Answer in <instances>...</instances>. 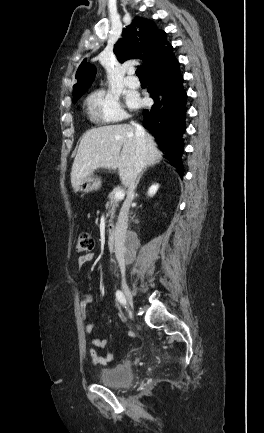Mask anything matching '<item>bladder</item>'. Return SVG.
Returning a JSON list of instances; mask_svg holds the SVG:
<instances>
[{"label":"bladder","mask_w":264,"mask_h":433,"mask_svg":"<svg viewBox=\"0 0 264 433\" xmlns=\"http://www.w3.org/2000/svg\"><path fill=\"white\" fill-rule=\"evenodd\" d=\"M132 379L133 365L130 362H124L100 371V383L108 387L124 388L130 385Z\"/></svg>","instance_id":"obj_1"}]
</instances>
